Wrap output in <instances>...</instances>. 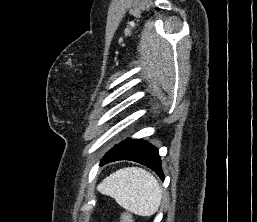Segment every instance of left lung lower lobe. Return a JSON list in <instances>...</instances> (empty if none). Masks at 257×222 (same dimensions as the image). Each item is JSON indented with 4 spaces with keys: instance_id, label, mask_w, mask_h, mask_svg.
Here are the masks:
<instances>
[{
    "instance_id": "obj_1",
    "label": "left lung lower lobe",
    "mask_w": 257,
    "mask_h": 222,
    "mask_svg": "<svg viewBox=\"0 0 257 222\" xmlns=\"http://www.w3.org/2000/svg\"><path fill=\"white\" fill-rule=\"evenodd\" d=\"M118 160L138 162L152 169L162 180L165 178L158 150L145 141L130 139L122 141L105 154L100 165Z\"/></svg>"
}]
</instances>
